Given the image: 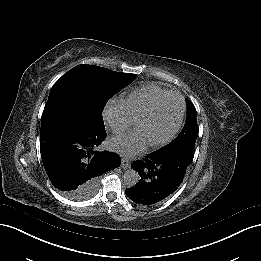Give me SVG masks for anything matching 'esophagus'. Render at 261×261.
<instances>
[{"label": "esophagus", "mask_w": 261, "mask_h": 261, "mask_svg": "<svg viewBox=\"0 0 261 261\" xmlns=\"http://www.w3.org/2000/svg\"><path fill=\"white\" fill-rule=\"evenodd\" d=\"M130 166V161L127 158H122L121 167L126 169Z\"/></svg>", "instance_id": "obj_1"}]
</instances>
